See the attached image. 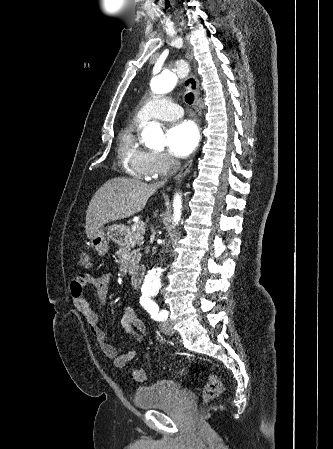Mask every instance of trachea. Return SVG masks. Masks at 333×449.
<instances>
[{"label": "trachea", "instance_id": "1", "mask_svg": "<svg viewBox=\"0 0 333 449\" xmlns=\"http://www.w3.org/2000/svg\"><path fill=\"white\" fill-rule=\"evenodd\" d=\"M185 101H186L188 104H192L193 101H194V96H193V94H192V93L186 94V96H185Z\"/></svg>", "mask_w": 333, "mask_h": 449}]
</instances>
